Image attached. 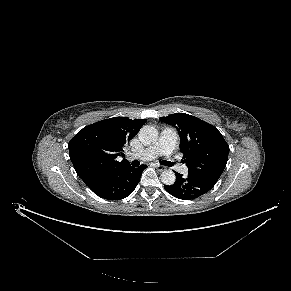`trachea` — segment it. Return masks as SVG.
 <instances>
[{
	"label": "trachea",
	"mask_w": 291,
	"mask_h": 291,
	"mask_svg": "<svg viewBox=\"0 0 291 291\" xmlns=\"http://www.w3.org/2000/svg\"><path fill=\"white\" fill-rule=\"evenodd\" d=\"M139 164H140V162L138 160H134L132 162V165H134V166H138ZM161 164L166 165V166H172V163L169 161H162Z\"/></svg>",
	"instance_id": "obj_1"
}]
</instances>
